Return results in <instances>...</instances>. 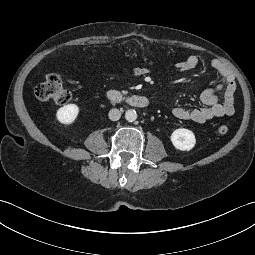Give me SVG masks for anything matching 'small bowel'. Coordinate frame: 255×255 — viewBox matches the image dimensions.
Returning <instances> with one entry per match:
<instances>
[{
	"label": "small bowel",
	"mask_w": 255,
	"mask_h": 255,
	"mask_svg": "<svg viewBox=\"0 0 255 255\" xmlns=\"http://www.w3.org/2000/svg\"><path fill=\"white\" fill-rule=\"evenodd\" d=\"M198 64V57L190 55L175 63L173 70L176 72H187L195 69ZM211 67L220 76V82L201 93L200 99L204 106L194 109L175 107L172 113L176 118L196 123H205L213 118L230 116L234 113L235 92L237 88L235 77L229 68L218 59L212 60ZM147 72V69L140 68L134 71V75H144ZM220 91H223L222 101L219 99Z\"/></svg>",
	"instance_id": "1"
}]
</instances>
